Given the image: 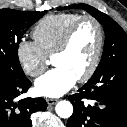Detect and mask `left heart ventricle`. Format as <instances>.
<instances>
[{"mask_svg":"<svg viewBox=\"0 0 127 127\" xmlns=\"http://www.w3.org/2000/svg\"><path fill=\"white\" fill-rule=\"evenodd\" d=\"M98 33L92 22H84L76 31L68 50L52 59L56 67H64L77 78L86 72L93 59Z\"/></svg>","mask_w":127,"mask_h":127,"instance_id":"1","label":"left heart ventricle"}]
</instances>
